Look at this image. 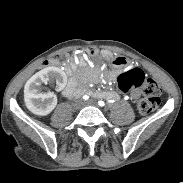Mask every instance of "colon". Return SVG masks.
Here are the masks:
<instances>
[{"instance_id": "5ec220e1", "label": "colon", "mask_w": 183, "mask_h": 183, "mask_svg": "<svg viewBox=\"0 0 183 183\" xmlns=\"http://www.w3.org/2000/svg\"><path fill=\"white\" fill-rule=\"evenodd\" d=\"M87 54L92 57L101 56L106 61L119 62L110 52H101L95 48H88ZM65 54H57L47 61V65H62L66 62ZM132 89H139L137 98V107L142 114H148L154 111L160 104L161 88L157 81L148 78L139 69H131L121 73L118 77L115 93L123 96Z\"/></svg>"}]
</instances>
